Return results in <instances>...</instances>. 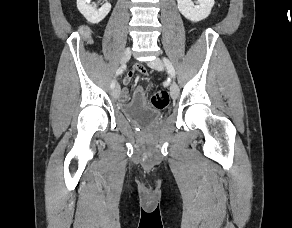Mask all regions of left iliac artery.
<instances>
[{
  "instance_id": "obj_1",
  "label": "left iliac artery",
  "mask_w": 292,
  "mask_h": 228,
  "mask_svg": "<svg viewBox=\"0 0 292 228\" xmlns=\"http://www.w3.org/2000/svg\"><path fill=\"white\" fill-rule=\"evenodd\" d=\"M163 62L167 68L168 73L171 75V77L174 78L175 77V70H174L172 63L167 58H163Z\"/></svg>"
}]
</instances>
